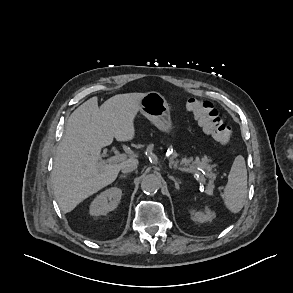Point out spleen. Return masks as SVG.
<instances>
[{
	"label": "spleen",
	"instance_id": "3e777b00",
	"mask_svg": "<svg viewBox=\"0 0 293 293\" xmlns=\"http://www.w3.org/2000/svg\"><path fill=\"white\" fill-rule=\"evenodd\" d=\"M247 197V169L244 157L239 155L235 158L228 182L224 188L222 199L225 206L232 213H238L243 208Z\"/></svg>",
	"mask_w": 293,
	"mask_h": 293
}]
</instances>
